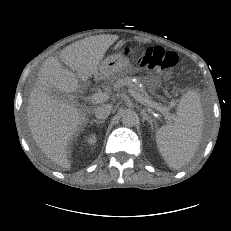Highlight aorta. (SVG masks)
<instances>
[{
	"mask_svg": "<svg viewBox=\"0 0 231 231\" xmlns=\"http://www.w3.org/2000/svg\"><path fill=\"white\" fill-rule=\"evenodd\" d=\"M138 120V116L136 112L132 110H127L122 115V123L125 126H134Z\"/></svg>",
	"mask_w": 231,
	"mask_h": 231,
	"instance_id": "762f6f07",
	"label": "aorta"
}]
</instances>
